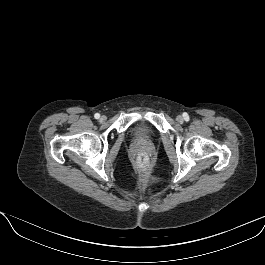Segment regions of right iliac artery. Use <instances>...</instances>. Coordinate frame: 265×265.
<instances>
[{
    "label": "right iliac artery",
    "instance_id": "82829eb1",
    "mask_svg": "<svg viewBox=\"0 0 265 265\" xmlns=\"http://www.w3.org/2000/svg\"><path fill=\"white\" fill-rule=\"evenodd\" d=\"M94 117H95L96 119H99V118H100V114L96 113V114L94 115Z\"/></svg>",
    "mask_w": 265,
    "mask_h": 265
}]
</instances>
